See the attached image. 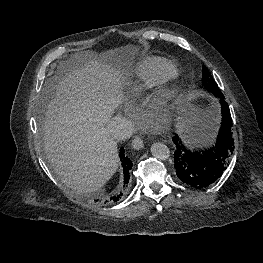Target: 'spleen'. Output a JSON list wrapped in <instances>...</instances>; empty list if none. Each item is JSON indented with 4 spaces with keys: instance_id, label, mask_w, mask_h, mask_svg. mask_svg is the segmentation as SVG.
Instances as JSON below:
<instances>
[{
    "instance_id": "1",
    "label": "spleen",
    "mask_w": 263,
    "mask_h": 263,
    "mask_svg": "<svg viewBox=\"0 0 263 263\" xmlns=\"http://www.w3.org/2000/svg\"><path fill=\"white\" fill-rule=\"evenodd\" d=\"M182 127L186 128L187 130H193L195 131L194 133H191L188 136H185L187 137V143L189 144H192V143H195V142H201L203 140H208V135H207V132L204 131V130H199V129H193L190 127V123L189 124H185L183 125Z\"/></svg>"
}]
</instances>
